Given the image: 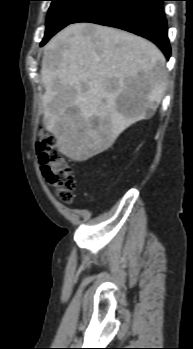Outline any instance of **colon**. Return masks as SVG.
I'll list each match as a JSON object with an SVG mask.
<instances>
[{"label":"colon","instance_id":"5ec220e1","mask_svg":"<svg viewBox=\"0 0 193 349\" xmlns=\"http://www.w3.org/2000/svg\"><path fill=\"white\" fill-rule=\"evenodd\" d=\"M36 152L45 180L55 188L61 201L70 203L76 187L74 171L58 151L56 138L52 134H42L36 142Z\"/></svg>","mask_w":193,"mask_h":349}]
</instances>
